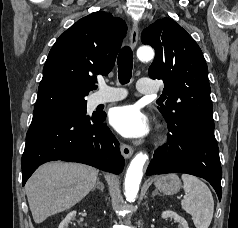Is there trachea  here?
<instances>
[{
	"instance_id": "1",
	"label": "trachea",
	"mask_w": 238,
	"mask_h": 228,
	"mask_svg": "<svg viewBox=\"0 0 238 228\" xmlns=\"http://www.w3.org/2000/svg\"><path fill=\"white\" fill-rule=\"evenodd\" d=\"M118 78L121 84H127L132 75L133 54L130 47L125 46L121 49L118 59Z\"/></svg>"
}]
</instances>
